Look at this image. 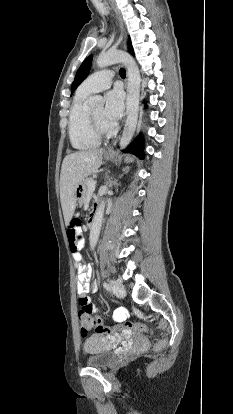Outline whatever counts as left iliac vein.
I'll return each mask as SVG.
<instances>
[{"mask_svg":"<svg viewBox=\"0 0 233 414\" xmlns=\"http://www.w3.org/2000/svg\"><path fill=\"white\" fill-rule=\"evenodd\" d=\"M110 287L113 294L119 298H123L126 294L123 284L119 281H111Z\"/></svg>","mask_w":233,"mask_h":414,"instance_id":"left-iliac-vein-1","label":"left iliac vein"}]
</instances>
